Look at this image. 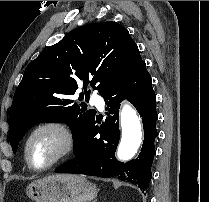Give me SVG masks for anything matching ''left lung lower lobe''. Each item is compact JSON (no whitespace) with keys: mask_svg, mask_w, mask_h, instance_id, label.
<instances>
[{"mask_svg":"<svg viewBox=\"0 0 209 202\" xmlns=\"http://www.w3.org/2000/svg\"><path fill=\"white\" fill-rule=\"evenodd\" d=\"M108 117L99 127L97 119L88 131L74 144L75 158L56 169L57 173H75L98 177H117L146 190L152 177L151 165L155 155L154 141L158 133L155 109L156 95L145 62L115 84L103 96ZM124 99L129 100L143 121L144 141L135 160L119 162L115 151L119 143V107Z\"/></svg>","mask_w":209,"mask_h":202,"instance_id":"obj_1","label":"left lung lower lobe"}]
</instances>
